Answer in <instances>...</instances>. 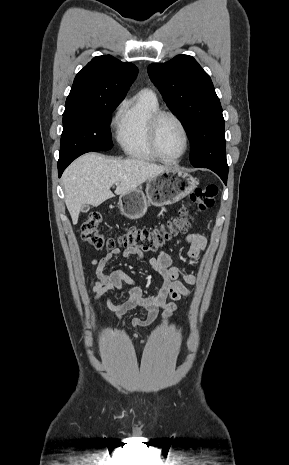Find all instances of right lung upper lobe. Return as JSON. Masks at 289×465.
Here are the masks:
<instances>
[{
  "label": "right lung upper lobe",
  "instance_id": "right-lung-upper-lobe-1",
  "mask_svg": "<svg viewBox=\"0 0 289 465\" xmlns=\"http://www.w3.org/2000/svg\"><path fill=\"white\" fill-rule=\"evenodd\" d=\"M138 69L132 63L103 55L90 61L75 77L64 114L85 112L92 106L123 100Z\"/></svg>",
  "mask_w": 289,
  "mask_h": 465
}]
</instances>
